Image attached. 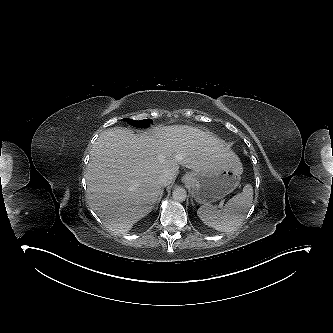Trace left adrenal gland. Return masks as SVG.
Masks as SVG:
<instances>
[{"label":"left adrenal gland","mask_w":333,"mask_h":333,"mask_svg":"<svg viewBox=\"0 0 333 333\" xmlns=\"http://www.w3.org/2000/svg\"><path fill=\"white\" fill-rule=\"evenodd\" d=\"M191 202H192V205L194 206L193 200H191Z\"/></svg>","instance_id":"left-adrenal-gland-1"}]
</instances>
